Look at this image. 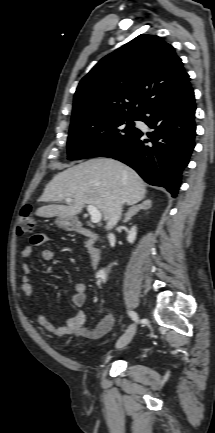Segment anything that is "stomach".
Wrapping results in <instances>:
<instances>
[{
    "label": "stomach",
    "instance_id": "stomach-1",
    "mask_svg": "<svg viewBox=\"0 0 215 433\" xmlns=\"http://www.w3.org/2000/svg\"><path fill=\"white\" fill-rule=\"evenodd\" d=\"M55 223L60 228H62L64 230H68V231L73 230L74 227H75V219L74 218H61V217H58L56 219Z\"/></svg>",
    "mask_w": 215,
    "mask_h": 433
}]
</instances>
